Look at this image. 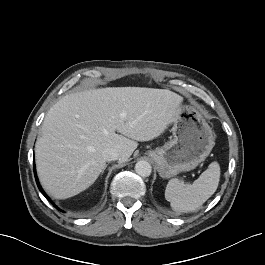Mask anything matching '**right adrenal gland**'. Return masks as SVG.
Masks as SVG:
<instances>
[{"mask_svg":"<svg viewBox=\"0 0 265 265\" xmlns=\"http://www.w3.org/2000/svg\"><path fill=\"white\" fill-rule=\"evenodd\" d=\"M106 168H107V165L104 167V169H103V171H102V174L104 173V170H105ZM102 174H101V175H102Z\"/></svg>","mask_w":265,"mask_h":265,"instance_id":"right-adrenal-gland-1","label":"right adrenal gland"}]
</instances>
